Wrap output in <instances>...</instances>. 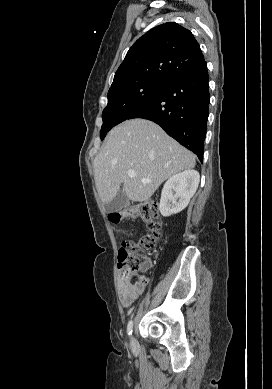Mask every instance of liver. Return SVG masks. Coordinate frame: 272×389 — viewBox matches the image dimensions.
Wrapping results in <instances>:
<instances>
[{
    "label": "liver",
    "mask_w": 272,
    "mask_h": 389,
    "mask_svg": "<svg viewBox=\"0 0 272 389\" xmlns=\"http://www.w3.org/2000/svg\"><path fill=\"white\" fill-rule=\"evenodd\" d=\"M195 164L189 150L145 119L127 120L113 128L93 162L95 184L103 203L116 196L121 184L131 201H147L166 179ZM129 170L135 172L134 178L128 176ZM142 179L151 181L143 183Z\"/></svg>",
    "instance_id": "obj_1"
}]
</instances>
